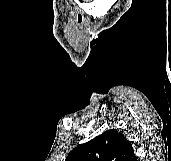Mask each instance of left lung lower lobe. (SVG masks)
<instances>
[{"instance_id":"left-lung-lower-lobe-1","label":"left lung lower lobe","mask_w":171,"mask_h":161,"mask_svg":"<svg viewBox=\"0 0 171 161\" xmlns=\"http://www.w3.org/2000/svg\"><path fill=\"white\" fill-rule=\"evenodd\" d=\"M131 161H137V158H136V156L131 160Z\"/></svg>"}]
</instances>
